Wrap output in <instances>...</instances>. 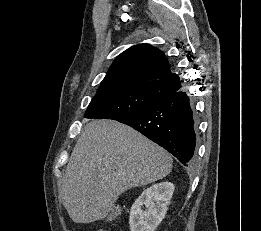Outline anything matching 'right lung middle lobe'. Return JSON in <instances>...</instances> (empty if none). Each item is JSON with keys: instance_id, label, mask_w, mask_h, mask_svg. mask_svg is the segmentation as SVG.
<instances>
[{"instance_id": "1", "label": "right lung middle lobe", "mask_w": 261, "mask_h": 231, "mask_svg": "<svg viewBox=\"0 0 261 231\" xmlns=\"http://www.w3.org/2000/svg\"><path fill=\"white\" fill-rule=\"evenodd\" d=\"M159 98L138 87L98 91L90 102L85 118L118 120L153 104Z\"/></svg>"}]
</instances>
